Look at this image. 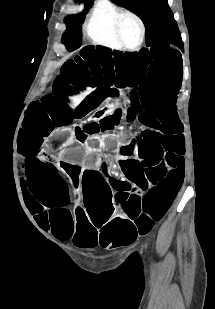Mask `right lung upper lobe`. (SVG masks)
I'll return each instance as SVG.
<instances>
[{
  "instance_id": "cb5924a9",
  "label": "right lung upper lobe",
  "mask_w": 215,
  "mask_h": 309,
  "mask_svg": "<svg viewBox=\"0 0 215 309\" xmlns=\"http://www.w3.org/2000/svg\"><path fill=\"white\" fill-rule=\"evenodd\" d=\"M92 0H84L85 3H90Z\"/></svg>"
}]
</instances>
